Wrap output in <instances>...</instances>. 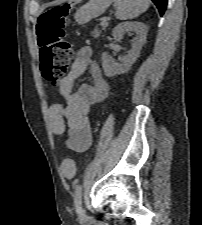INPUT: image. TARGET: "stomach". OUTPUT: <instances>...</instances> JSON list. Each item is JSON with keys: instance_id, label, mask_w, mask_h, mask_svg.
<instances>
[{"instance_id": "0dacf381", "label": "stomach", "mask_w": 202, "mask_h": 225, "mask_svg": "<svg viewBox=\"0 0 202 225\" xmlns=\"http://www.w3.org/2000/svg\"><path fill=\"white\" fill-rule=\"evenodd\" d=\"M113 0H89L77 9L74 19L79 25L88 23L91 19L102 15Z\"/></svg>"}]
</instances>
